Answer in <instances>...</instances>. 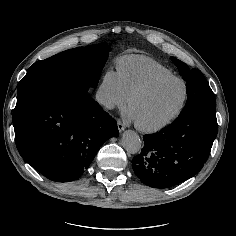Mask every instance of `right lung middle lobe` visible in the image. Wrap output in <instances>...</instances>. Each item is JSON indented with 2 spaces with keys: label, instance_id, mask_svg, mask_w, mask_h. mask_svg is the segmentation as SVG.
Returning <instances> with one entry per match:
<instances>
[{
  "label": "right lung middle lobe",
  "instance_id": "right-lung-middle-lobe-1",
  "mask_svg": "<svg viewBox=\"0 0 236 236\" xmlns=\"http://www.w3.org/2000/svg\"><path fill=\"white\" fill-rule=\"evenodd\" d=\"M108 55V45L96 44L35 62L19 83L17 102L36 92L74 84L84 85L85 90L96 87Z\"/></svg>",
  "mask_w": 236,
  "mask_h": 236
}]
</instances>
